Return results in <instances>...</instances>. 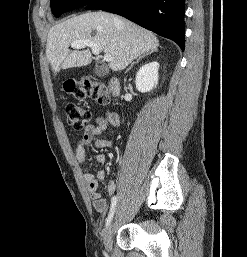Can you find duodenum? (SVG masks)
I'll return each instance as SVG.
<instances>
[{"label":"duodenum","instance_id":"obj_1","mask_svg":"<svg viewBox=\"0 0 247 257\" xmlns=\"http://www.w3.org/2000/svg\"><path fill=\"white\" fill-rule=\"evenodd\" d=\"M108 85H109V89H110L112 96H114V97L117 96L120 91L119 81L116 78H110Z\"/></svg>","mask_w":247,"mask_h":257}]
</instances>
